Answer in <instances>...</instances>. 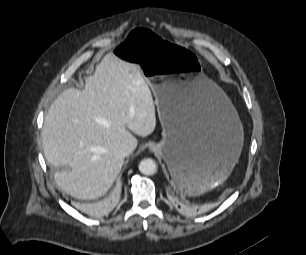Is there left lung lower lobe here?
Segmentation results:
<instances>
[{
    "label": "left lung lower lobe",
    "mask_w": 306,
    "mask_h": 255,
    "mask_svg": "<svg viewBox=\"0 0 306 255\" xmlns=\"http://www.w3.org/2000/svg\"><path fill=\"white\" fill-rule=\"evenodd\" d=\"M172 199L174 201V203L178 205V208H181L182 210H188V204L178 200V198L176 197V193L172 194Z\"/></svg>",
    "instance_id": "1"
}]
</instances>
